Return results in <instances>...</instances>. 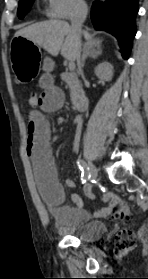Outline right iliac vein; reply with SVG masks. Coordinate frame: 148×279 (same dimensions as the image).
<instances>
[{"label": "right iliac vein", "instance_id": "1", "mask_svg": "<svg viewBox=\"0 0 148 279\" xmlns=\"http://www.w3.org/2000/svg\"><path fill=\"white\" fill-rule=\"evenodd\" d=\"M89 167V174L91 179L95 180L97 178V169L95 167V165L92 162H89L88 164ZM88 189L87 186H85V191Z\"/></svg>", "mask_w": 148, "mask_h": 279}]
</instances>
